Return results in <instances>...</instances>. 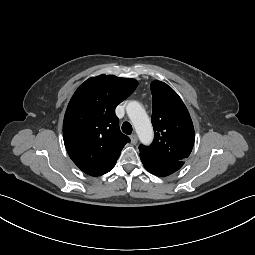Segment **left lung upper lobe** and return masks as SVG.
Instances as JSON below:
<instances>
[{
    "label": "left lung upper lobe",
    "mask_w": 255,
    "mask_h": 255,
    "mask_svg": "<svg viewBox=\"0 0 255 255\" xmlns=\"http://www.w3.org/2000/svg\"><path fill=\"white\" fill-rule=\"evenodd\" d=\"M154 140L140 145V158L159 166L184 163L194 145V127L189 112L178 94L166 83H151Z\"/></svg>",
    "instance_id": "left-lung-upper-lobe-1"
}]
</instances>
